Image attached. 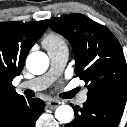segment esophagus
Instances as JSON below:
<instances>
[{
  "label": "esophagus",
  "instance_id": "obj_1",
  "mask_svg": "<svg viewBox=\"0 0 127 127\" xmlns=\"http://www.w3.org/2000/svg\"><path fill=\"white\" fill-rule=\"evenodd\" d=\"M46 104L49 109L54 110L59 106L60 102L56 100H50Z\"/></svg>",
  "mask_w": 127,
  "mask_h": 127
}]
</instances>
